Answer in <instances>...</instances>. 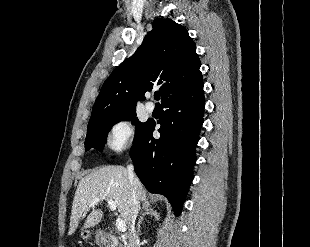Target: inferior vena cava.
Instances as JSON below:
<instances>
[{
	"label": "inferior vena cava",
	"instance_id": "obj_1",
	"mask_svg": "<svg viewBox=\"0 0 310 247\" xmlns=\"http://www.w3.org/2000/svg\"><path fill=\"white\" fill-rule=\"evenodd\" d=\"M128 176L130 183L132 185V213H131V220H130V228L128 233V246L127 247H137L139 244V237L135 230V221L137 218L138 211L140 210V200L139 195L137 192L138 186V179L135 177L134 174V167L133 165L127 166Z\"/></svg>",
	"mask_w": 310,
	"mask_h": 247
}]
</instances>
